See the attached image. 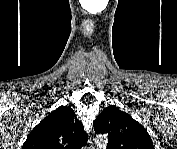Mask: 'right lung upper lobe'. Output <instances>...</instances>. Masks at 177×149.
I'll return each mask as SVG.
<instances>
[{
	"mask_svg": "<svg viewBox=\"0 0 177 149\" xmlns=\"http://www.w3.org/2000/svg\"><path fill=\"white\" fill-rule=\"evenodd\" d=\"M82 123L69 106H60L28 135L24 149H80L87 144Z\"/></svg>",
	"mask_w": 177,
	"mask_h": 149,
	"instance_id": "right-lung-upper-lobe-1",
	"label": "right lung upper lobe"
}]
</instances>
